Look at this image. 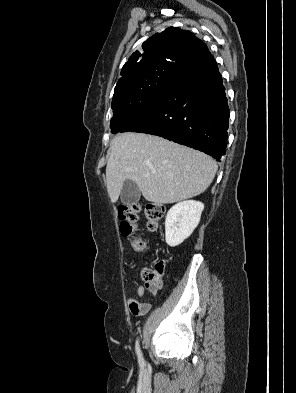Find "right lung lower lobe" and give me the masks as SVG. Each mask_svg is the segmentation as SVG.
<instances>
[{
	"label": "right lung lower lobe",
	"instance_id": "98d812e1",
	"mask_svg": "<svg viewBox=\"0 0 296 393\" xmlns=\"http://www.w3.org/2000/svg\"><path fill=\"white\" fill-rule=\"evenodd\" d=\"M229 107L211 53L180 71L155 101L120 132L161 136L220 161L226 152Z\"/></svg>",
	"mask_w": 296,
	"mask_h": 393
}]
</instances>
